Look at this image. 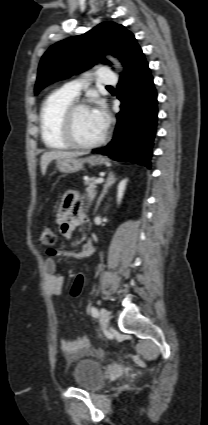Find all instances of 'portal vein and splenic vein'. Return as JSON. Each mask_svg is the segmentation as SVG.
I'll return each mask as SVG.
<instances>
[{
	"instance_id": "1",
	"label": "portal vein and splenic vein",
	"mask_w": 208,
	"mask_h": 425,
	"mask_svg": "<svg viewBox=\"0 0 208 425\" xmlns=\"http://www.w3.org/2000/svg\"><path fill=\"white\" fill-rule=\"evenodd\" d=\"M103 181H104V179L102 177H100L96 180V183L101 184V183H103Z\"/></svg>"
}]
</instances>
